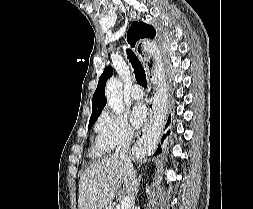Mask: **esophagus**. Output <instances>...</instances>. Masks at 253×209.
I'll return each mask as SVG.
<instances>
[{
  "label": "esophagus",
  "mask_w": 253,
  "mask_h": 209,
  "mask_svg": "<svg viewBox=\"0 0 253 209\" xmlns=\"http://www.w3.org/2000/svg\"><path fill=\"white\" fill-rule=\"evenodd\" d=\"M153 119H154V107L153 105L150 103L149 107H148V118L146 120V123L144 124V126L142 127L141 132H143L144 130L148 129L149 126H151V124L153 123Z\"/></svg>",
  "instance_id": "34e87169"
}]
</instances>
